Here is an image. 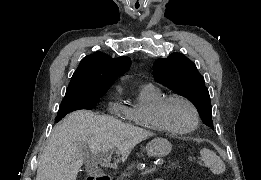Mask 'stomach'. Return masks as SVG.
<instances>
[{"instance_id":"0dacf381","label":"stomach","mask_w":261,"mask_h":180,"mask_svg":"<svg viewBox=\"0 0 261 180\" xmlns=\"http://www.w3.org/2000/svg\"><path fill=\"white\" fill-rule=\"evenodd\" d=\"M172 150V144L165 138H155L146 145L148 156L164 157Z\"/></svg>"}]
</instances>
